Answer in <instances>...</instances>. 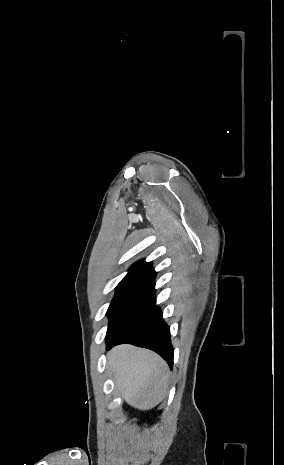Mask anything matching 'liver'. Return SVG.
I'll return each instance as SVG.
<instances>
[{
	"instance_id": "6515ba94",
	"label": "liver",
	"mask_w": 284,
	"mask_h": 465,
	"mask_svg": "<svg viewBox=\"0 0 284 465\" xmlns=\"http://www.w3.org/2000/svg\"><path fill=\"white\" fill-rule=\"evenodd\" d=\"M108 365L121 397L131 407L148 411L163 401L169 383V369L156 353L132 345H120L110 351Z\"/></svg>"
}]
</instances>
